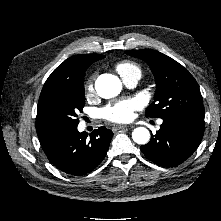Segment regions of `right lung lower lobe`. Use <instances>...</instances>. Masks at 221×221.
<instances>
[{
    "label": "right lung lower lobe",
    "instance_id": "98d812e1",
    "mask_svg": "<svg viewBox=\"0 0 221 221\" xmlns=\"http://www.w3.org/2000/svg\"><path fill=\"white\" fill-rule=\"evenodd\" d=\"M77 128L40 139L49 161L63 172L84 175L96 168L107 154L113 132L100 127L87 138Z\"/></svg>",
    "mask_w": 221,
    "mask_h": 221
}]
</instances>
